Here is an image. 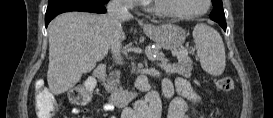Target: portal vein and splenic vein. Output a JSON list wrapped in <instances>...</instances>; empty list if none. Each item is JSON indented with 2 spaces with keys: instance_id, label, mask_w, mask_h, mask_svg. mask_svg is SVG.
Wrapping results in <instances>:
<instances>
[{
  "instance_id": "1",
  "label": "portal vein and splenic vein",
  "mask_w": 273,
  "mask_h": 118,
  "mask_svg": "<svg viewBox=\"0 0 273 118\" xmlns=\"http://www.w3.org/2000/svg\"><path fill=\"white\" fill-rule=\"evenodd\" d=\"M149 58H150L151 60H154L155 56L152 55V54H150V55H149Z\"/></svg>"
}]
</instances>
